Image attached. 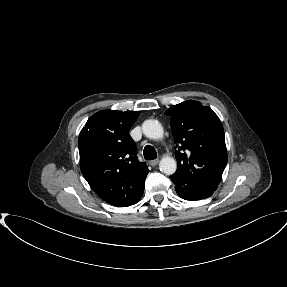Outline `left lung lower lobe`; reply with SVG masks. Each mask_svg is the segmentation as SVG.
Returning a JSON list of instances; mask_svg holds the SVG:
<instances>
[{"instance_id": "0a47b994", "label": "left lung lower lobe", "mask_w": 287, "mask_h": 287, "mask_svg": "<svg viewBox=\"0 0 287 287\" xmlns=\"http://www.w3.org/2000/svg\"><path fill=\"white\" fill-rule=\"evenodd\" d=\"M175 190L177 194L185 199V200H200L203 198L210 197L215 190H205V191H197V190H190L188 188L175 185Z\"/></svg>"}]
</instances>
